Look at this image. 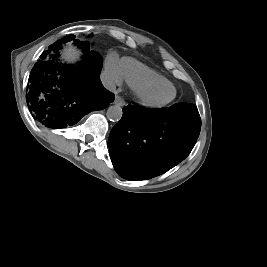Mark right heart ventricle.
<instances>
[{"mask_svg": "<svg viewBox=\"0 0 267 267\" xmlns=\"http://www.w3.org/2000/svg\"><path fill=\"white\" fill-rule=\"evenodd\" d=\"M121 66L124 79L132 87L147 82H168L165 77L134 59H122Z\"/></svg>", "mask_w": 267, "mask_h": 267, "instance_id": "1", "label": "right heart ventricle"}]
</instances>
